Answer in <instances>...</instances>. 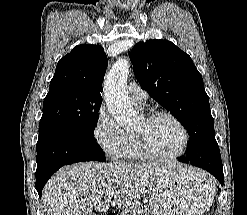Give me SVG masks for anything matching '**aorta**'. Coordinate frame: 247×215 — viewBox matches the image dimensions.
<instances>
[{"instance_id": "762f6f07", "label": "aorta", "mask_w": 247, "mask_h": 215, "mask_svg": "<svg viewBox=\"0 0 247 215\" xmlns=\"http://www.w3.org/2000/svg\"><path fill=\"white\" fill-rule=\"evenodd\" d=\"M128 74L129 61L126 58H119L104 81V98L107 109L123 128L133 126L137 122V113L131 106L127 92Z\"/></svg>"}]
</instances>
